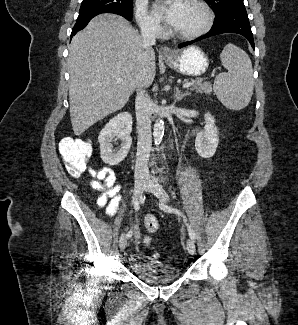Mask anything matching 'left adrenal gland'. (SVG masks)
<instances>
[{
  "label": "left adrenal gland",
  "instance_id": "left-adrenal-gland-1",
  "mask_svg": "<svg viewBox=\"0 0 298 325\" xmlns=\"http://www.w3.org/2000/svg\"><path fill=\"white\" fill-rule=\"evenodd\" d=\"M191 92H188V90H185V92H182L178 86H176V92H175V100H182L184 96H189Z\"/></svg>",
  "mask_w": 298,
  "mask_h": 325
}]
</instances>
